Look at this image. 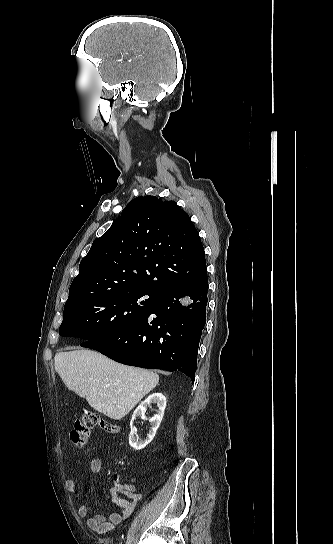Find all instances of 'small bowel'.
<instances>
[{
    "mask_svg": "<svg viewBox=\"0 0 333 544\" xmlns=\"http://www.w3.org/2000/svg\"><path fill=\"white\" fill-rule=\"evenodd\" d=\"M103 467V462L100 458L95 457L90 461L89 468L91 473L99 474ZM66 489L76 498L81 499L82 492L77 488L75 480L70 477L65 483ZM111 493L116 495L123 493L127 499L121 500L118 505V510L111 511L108 515L94 514L87 519V525L97 534H104L112 531L124 519L128 518L134 511L141 496L136 492L133 484H124L121 482L118 473L113 475V486ZM77 513L81 518L87 517L88 507L85 504H80L77 508Z\"/></svg>",
    "mask_w": 333,
    "mask_h": 544,
    "instance_id": "small-bowel-1",
    "label": "small bowel"
}]
</instances>
